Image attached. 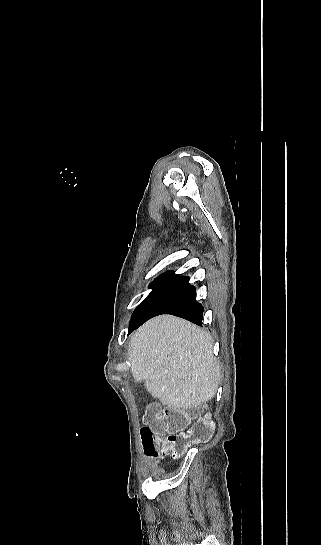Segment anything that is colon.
I'll return each instance as SVG.
<instances>
[{
  "mask_svg": "<svg viewBox=\"0 0 321 545\" xmlns=\"http://www.w3.org/2000/svg\"><path fill=\"white\" fill-rule=\"evenodd\" d=\"M192 425L185 430L190 422ZM141 438L144 452L150 457L170 454L177 458L189 446L209 441L215 430L208 415L200 416L197 408L164 409L152 403L146 408Z\"/></svg>",
  "mask_w": 321,
  "mask_h": 545,
  "instance_id": "obj_1",
  "label": "colon"
}]
</instances>
